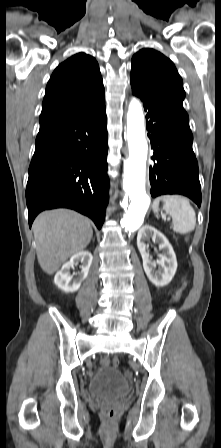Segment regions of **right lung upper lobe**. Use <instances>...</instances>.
Returning <instances> with one entry per match:
<instances>
[{
  "mask_svg": "<svg viewBox=\"0 0 221 448\" xmlns=\"http://www.w3.org/2000/svg\"><path fill=\"white\" fill-rule=\"evenodd\" d=\"M104 98L98 63L78 53L61 63L46 87L39 118L40 129L74 114Z\"/></svg>",
  "mask_w": 221,
  "mask_h": 448,
  "instance_id": "cb5924a9",
  "label": "right lung upper lobe"
}]
</instances>
